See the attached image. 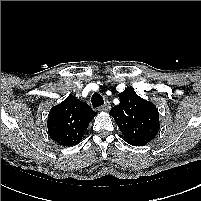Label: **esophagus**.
I'll use <instances>...</instances> for the list:
<instances>
[{
	"label": "esophagus",
	"mask_w": 201,
	"mask_h": 201,
	"mask_svg": "<svg viewBox=\"0 0 201 201\" xmlns=\"http://www.w3.org/2000/svg\"><path fill=\"white\" fill-rule=\"evenodd\" d=\"M110 108H111L110 102H109V101H106L105 104L99 108V110H102V111H109Z\"/></svg>",
	"instance_id": "34e87169"
}]
</instances>
